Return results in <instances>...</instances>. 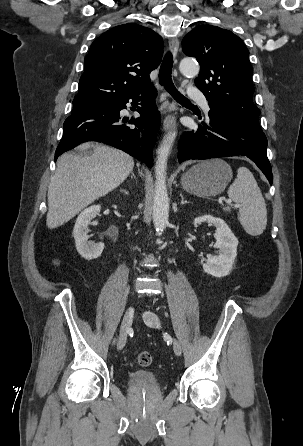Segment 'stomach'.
Returning a JSON list of instances; mask_svg holds the SVG:
<instances>
[{
  "label": "stomach",
  "instance_id": "obj_1",
  "mask_svg": "<svg viewBox=\"0 0 303 446\" xmlns=\"http://www.w3.org/2000/svg\"><path fill=\"white\" fill-rule=\"evenodd\" d=\"M232 179V169L221 159L206 160L191 167L182 175L185 191L198 196H216Z\"/></svg>",
  "mask_w": 303,
  "mask_h": 446
}]
</instances>
